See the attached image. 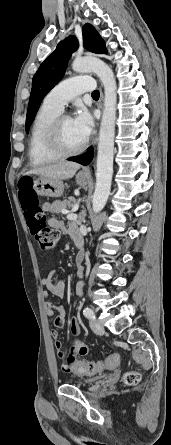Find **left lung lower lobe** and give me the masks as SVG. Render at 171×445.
<instances>
[{"mask_svg":"<svg viewBox=\"0 0 171 445\" xmlns=\"http://www.w3.org/2000/svg\"><path fill=\"white\" fill-rule=\"evenodd\" d=\"M93 152H94L93 147H90L88 149V151L85 152L84 154L76 156V157H71L68 160L78 162L82 165H87L93 158Z\"/></svg>","mask_w":171,"mask_h":445,"instance_id":"left-lung-lower-lobe-1","label":"left lung lower lobe"}]
</instances>
